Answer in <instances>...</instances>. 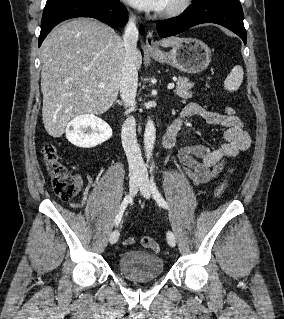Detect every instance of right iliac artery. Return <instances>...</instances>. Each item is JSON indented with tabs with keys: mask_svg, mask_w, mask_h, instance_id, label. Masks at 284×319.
I'll return each mask as SVG.
<instances>
[{
	"mask_svg": "<svg viewBox=\"0 0 284 319\" xmlns=\"http://www.w3.org/2000/svg\"><path fill=\"white\" fill-rule=\"evenodd\" d=\"M131 201H132L131 195H127V196L124 198V200H123V202H122V204H121V206H120V208H119L118 214L116 215L115 221H114L115 226H118V225H119V223H120V221H121V219H122L123 213H124L126 207L128 206V204H129Z\"/></svg>",
	"mask_w": 284,
	"mask_h": 319,
	"instance_id": "82829eb1",
	"label": "right iliac artery"
}]
</instances>
